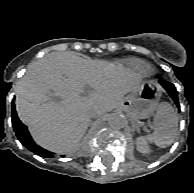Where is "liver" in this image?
<instances>
[{
  "instance_id": "liver-1",
  "label": "liver",
  "mask_w": 194,
  "mask_h": 193,
  "mask_svg": "<svg viewBox=\"0 0 194 193\" xmlns=\"http://www.w3.org/2000/svg\"><path fill=\"white\" fill-rule=\"evenodd\" d=\"M140 84V77L119 64L51 52L19 80L16 110L38 145L66 154L78 148L95 112L120 107ZM86 87L90 91L82 96Z\"/></svg>"
}]
</instances>
